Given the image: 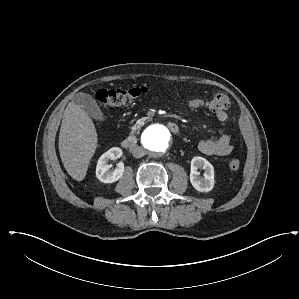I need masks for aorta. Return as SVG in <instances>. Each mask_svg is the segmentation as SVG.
<instances>
[{"label": "aorta", "instance_id": "aorta-1", "mask_svg": "<svg viewBox=\"0 0 299 299\" xmlns=\"http://www.w3.org/2000/svg\"><path fill=\"white\" fill-rule=\"evenodd\" d=\"M172 136L169 130L162 125L148 127L142 135L144 148L152 154L165 152L171 144Z\"/></svg>", "mask_w": 299, "mask_h": 299}]
</instances>
